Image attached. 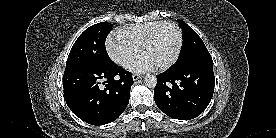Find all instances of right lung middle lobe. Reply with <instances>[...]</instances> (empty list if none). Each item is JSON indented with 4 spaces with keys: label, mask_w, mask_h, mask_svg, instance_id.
Here are the masks:
<instances>
[{
    "label": "right lung middle lobe",
    "mask_w": 276,
    "mask_h": 138,
    "mask_svg": "<svg viewBox=\"0 0 276 138\" xmlns=\"http://www.w3.org/2000/svg\"><path fill=\"white\" fill-rule=\"evenodd\" d=\"M111 29L112 24L108 22H101L87 28L72 46L66 67L80 63L102 65L112 63L105 48V40Z\"/></svg>",
    "instance_id": "1"
}]
</instances>
